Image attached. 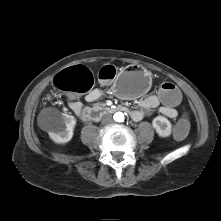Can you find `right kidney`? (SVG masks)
I'll return each instance as SVG.
<instances>
[{
  "label": "right kidney",
  "mask_w": 221,
  "mask_h": 221,
  "mask_svg": "<svg viewBox=\"0 0 221 221\" xmlns=\"http://www.w3.org/2000/svg\"><path fill=\"white\" fill-rule=\"evenodd\" d=\"M76 119L72 115L62 113L52 124L48 134L57 144H65L73 137Z\"/></svg>",
  "instance_id": "1"
}]
</instances>
